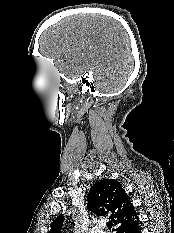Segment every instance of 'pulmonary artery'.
Wrapping results in <instances>:
<instances>
[{
  "mask_svg": "<svg viewBox=\"0 0 174 233\" xmlns=\"http://www.w3.org/2000/svg\"><path fill=\"white\" fill-rule=\"evenodd\" d=\"M90 233H105V232L99 226V227L92 228L91 231H90Z\"/></svg>",
  "mask_w": 174,
  "mask_h": 233,
  "instance_id": "1",
  "label": "pulmonary artery"
}]
</instances>
